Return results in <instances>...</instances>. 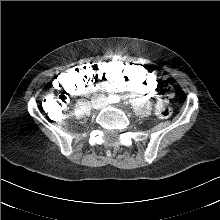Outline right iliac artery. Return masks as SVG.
Here are the masks:
<instances>
[{
  "label": "right iliac artery",
  "mask_w": 220,
  "mask_h": 220,
  "mask_svg": "<svg viewBox=\"0 0 220 220\" xmlns=\"http://www.w3.org/2000/svg\"><path fill=\"white\" fill-rule=\"evenodd\" d=\"M111 96L108 97V101H110Z\"/></svg>",
  "instance_id": "right-iliac-artery-1"
}]
</instances>
